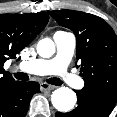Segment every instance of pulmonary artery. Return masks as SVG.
I'll use <instances>...</instances> for the list:
<instances>
[{"label":"pulmonary artery","instance_id":"e3ab8cb5","mask_svg":"<svg viewBox=\"0 0 117 117\" xmlns=\"http://www.w3.org/2000/svg\"><path fill=\"white\" fill-rule=\"evenodd\" d=\"M53 39L56 46V55L53 58L22 62L19 64V68L30 74L56 75L70 87L82 88V79L67 70L76 47L75 35L70 32L57 31Z\"/></svg>","mask_w":117,"mask_h":117}]
</instances>
